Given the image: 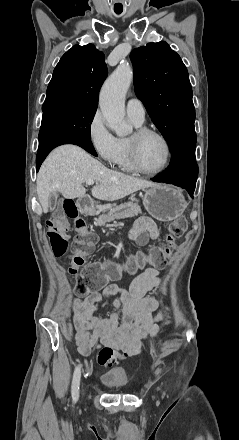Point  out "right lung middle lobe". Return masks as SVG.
I'll return each mask as SVG.
<instances>
[{
  "mask_svg": "<svg viewBox=\"0 0 239 440\" xmlns=\"http://www.w3.org/2000/svg\"><path fill=\"white\" fill-rule=\"evenodd\" d=\"M42 110L39 143L50 136L64 133H78L90 138V124L96 109L59 101L43 104Z\"/></svg>",
  "mask_w": 239,
  "mask_h": 440,
  "instance_id": "dd1d6c3e",
  "label": "right lung middle lobe"
}]
</instances>
